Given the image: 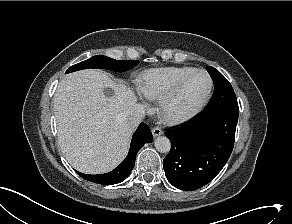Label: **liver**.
I'll list each match as a JSON object with an SVG mask.
<instances>
[{
	"label": "liver",
	"instance_id": "liver-1",
	"mask_svg": "<svg viewBox=\"0 0 292 224\" xmlns=\"http://www.w3.org/2000/svg\"><path fill=\"white\" fill-rule=\"evenodd\" d=\"M106 88L112 96L104 94ZM136 101L131 88L100 70L74 72L60 81L53 99L58 143L73 168L106 173L126 157L135 129L127 113Z\"/></svg>",
	"mask_w": 292,
	"mask_h": 224
}]
</instances>
